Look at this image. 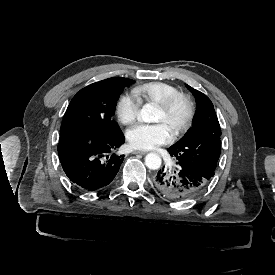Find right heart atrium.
<instances>
[{
  "label": "right heart atrium",
  "mask_w": 275,
  "mask_h": 275,
  "mask_svg": "<svg viewBox=\"0 0 275 275\" xmlns=\"http://www.w3.org/2000/svg\"><path fill=\"white\" fill-rule=\"evenodd\" d=\"M142 101L134 93L121 95L116 105V113L121 123H133L139 114Z\"/></svg>",
  "instance_id": "right-heart-atrium-1"
}]
</instances>
